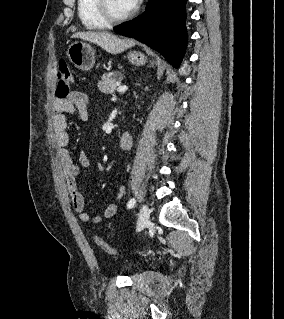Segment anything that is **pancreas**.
Instances as JSON below:
<instances>
[{
  "mask_svg": "<svg viewBox=\"0 0 284 319\" xmlns=\"http://www.w3.org/2000/svg\"><path fill=\"white\" fill-rule=\"evenodd\" d=\"M122 80V75L117 73H106L101 76V81L98 82V88L102 93L113 94L117 86Z\"/></svg>",
  "mask_w": 284,
  "mask_h": 319,
  "instance_id": "1",
  "label": "pancreas"
}]
</instances>
